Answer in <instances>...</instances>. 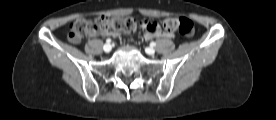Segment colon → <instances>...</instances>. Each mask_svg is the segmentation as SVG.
<instances>
[{"label":"colon","mask_w":276,"mask_h":120,"mask_svg":"<svg viewBox=\"0 0 276 120\" xmlns=\"http://www.w3.org/2000/svg\"><path fill=\"white\" fill-rule=\"evenodd\" d=\"M148 31H155L159 26L154 21L145 23ZM163 30L166 33L178 31L184 37H191L195 32L194 23L184 17L168 18L162 23ZM137 28V22L132 17H115L99 16L94 20L78 19L69 27L68 39L72 43H78L84 36L93 35L97 32L116 34L118 32L133 33Z\"/></svg>","instance_id":"obj_1"}]
</instances>
